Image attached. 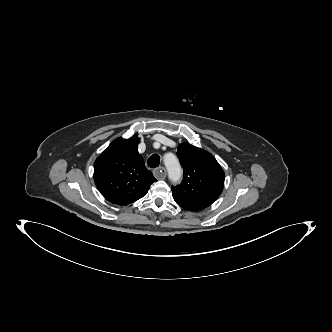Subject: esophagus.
Returning a JSON list of instances; mask_svg holds the SVG:
<instances>
[{
	"label": "esophagus",
	"mask_w": 332,
	"mask_h": 332,
	"mask_svg": "<svg viewBox=\"0 0 332 332\" xmlns=\"http://www.w3.org/2000/svg\"><path fill=\"white\" fill-rule=\"evenodd\" d=\"M153 174L157 179L163 180L166 178L167 172L166 169L163 166H161L159 168H156L153 171Z\"/></svg>",
	"instance_id": "1"
}]
</instances>
